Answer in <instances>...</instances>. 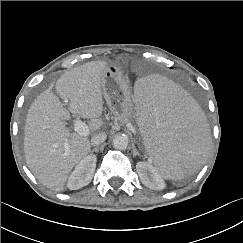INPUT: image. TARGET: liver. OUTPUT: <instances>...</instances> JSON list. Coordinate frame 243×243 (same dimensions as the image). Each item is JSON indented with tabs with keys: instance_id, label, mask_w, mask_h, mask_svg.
Returning a JSON list of instances; mask_svg holds the SVG:
<instances>
[{
	"instance_id": "1",
	"label": "liver",
	"mask_w": 243,
	"mask_h": 243,
	"mask_svg": "<svg viewBox=\"0 0 243 243\" xmlns=\"http://www.w3.org/2000/svg\"><path fill=\"white\" fill-rule=\"evenodd\" d=\"M108 67L104 61H93L71 69L56 82L60 98L69 102L64 107L50 90L41 93L32 103L24 128V153L28 168L47 188L62 191L73 167L90 152L87 136L70 133L65 120L70 112L89 119V132L104 124L102 77ZM68 144V149L65 144Z\"/></svg>"
}]
</instances>
